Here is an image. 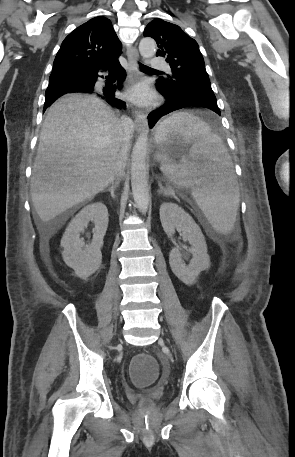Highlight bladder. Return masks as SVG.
Instances as JSON below:
<instances>
[{
	"mask_svg": "<svg viewBox=\"0 0 295 457\" xmlns=\"http://www.w3.org/2000/svg\"><path fill=\"white\" fill-rule=\"evenodd\" d=\"M159 358L161 360H164L166 358V355L164 353H161L159 355ZM162 379L165 380L166 378L163 377ZM156 403H157V400H155L154 398L146 397L141 402H139L138 409H139V411H154L155 407H156L155 406Z\"/></svg>",
	"mask_w": 295,
	"mask_h": 457,
	"instance_id": "31cf9c89",
	"label": "bladder"
}]
</instances>
